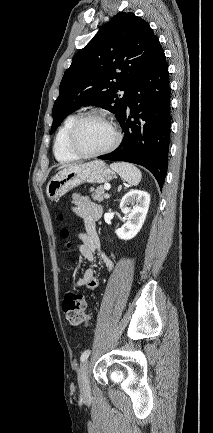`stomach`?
<instances>
[{"label": "stomach", "instance_id": "1", "mask_svg": "<svg viewBox=\"0 0 213 433\" xmlns=\"http://www.w3.org/2000/svg\"><path fill=\"white\" fill-rule=\"evenodd\" d=\"M114 172L103 161H91L67 167L55 175L47 184L46 194L56 200L83 183H106Z\"/></svg>", "mask_w": 213, "mask_h": 433}]
</instances>
